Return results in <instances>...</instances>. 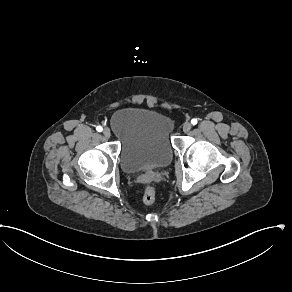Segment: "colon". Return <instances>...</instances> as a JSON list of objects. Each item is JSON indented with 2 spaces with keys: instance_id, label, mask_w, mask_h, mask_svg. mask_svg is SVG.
Listing matches in <instances>:
<instances>
[{
  "instance_id": "obj_1",
  "label": "colon",
  "mask_w": 292,
  "mask_h": 292,
  "mask_svg": "<svg viewBox=\"0 0 292 292\" xmlns=\"http://www.w3.org/2000/svg\"><path fill=\"white\" fill-rule=\"evenodd\" d=\"M156 200V188L153 184H146L143 190L142 202L143 204L150 206L155 203Z\"/></svg>"
}]
</instances>
